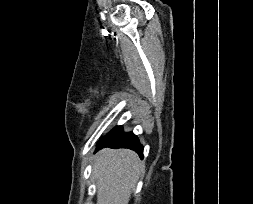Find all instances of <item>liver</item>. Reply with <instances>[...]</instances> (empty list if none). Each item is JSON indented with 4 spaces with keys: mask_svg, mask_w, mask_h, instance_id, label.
Returning a JSON list of instances; mask_svg holds the SVG:
<instances>
[{
    "mask_svg": "<svg viewBox=\"0 0 253 204\" xmlns=\"http://www.w3.org/2000/svg\"><path fill=\"white\" fill-rule=\"evenodd\" d=\"M143 164L128 149H102L94 157L97 204H128Z\"/></svg>",
    "mask_w": 253,
    "mask_h": 204,
    "instance_id": "obj_1",
    "label": "liver"
}]
</instances>
